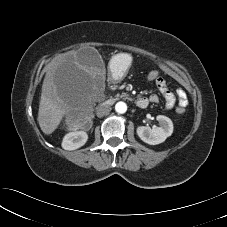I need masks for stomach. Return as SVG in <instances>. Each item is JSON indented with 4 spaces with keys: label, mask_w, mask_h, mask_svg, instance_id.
<instances>
[{
    "label": "stomach",
    "mask_w": 227,
    "mask_h": 227,
    "mask_svg": "<svg viewBox=\"0 0 227 227\" xmlns=\"http://www.w3.org/2000/svg\"><path fill=\"white\" fill-rule=\"evenodd\" d=\"M132 62V57L127 53H119L112 57L109 64V71L112 78L116 81L123 79Z\"/></svg>",
    "instance_id": "1"
}]
</instances>
